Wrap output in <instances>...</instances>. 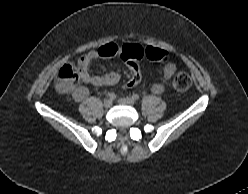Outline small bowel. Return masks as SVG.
I'll return each mask as SVG.
<instances>
[{
  "instance_id": "1",
  "label": "small bowel",
  "mask_w": 248,
  "mask_h": 194,
  "mask_svg": "<svg viewBox=\"0 0 248 194\" xmlns=\"http://www.w3.org/2000/svg\"><path fill=\"white\" fill-rule=\"evenodd\" d=\"M165 52L154 47L143 48L136 43L117 45L115 43H107L97 50L90 51L78 59L77 70L80 79L83 83L100 87V86H113L120 81V74L112 71L103 75H93L90 73L92 64L100 59H107L114 56L121 57L129 66L131 71L138 66V60L143 56L151 60H157V54ZM178 67V62L172 61L166 63L163 68V75L161 81L152 84L151 90L154 94H161L166 83L174 75ZM140 81V80H139ZM134 83L132 78L126 83V86L131 88L139 83ZM88 89L85 86H78L72 91V96L75 101L81 102L88 96Z\"/></svg>"
}]
</instances>
